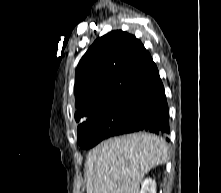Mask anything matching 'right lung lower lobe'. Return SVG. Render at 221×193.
Returning <instances> with one entry per match:
<instances>
[{"mask_svg":"<svg viewBox=\"0 0 221 193\" xmlns=\"http://www.w3.org/2000/svg\"><path fill=\"white\" fill-rule=\"evenodd\" d=\"M139 131L153 132L164 137L169 134L168 104L161 80L147 99V109L144 113L132 124L119 130L116 135Z\"/></svg>","mask_w":221,"mask_h":193,"instance_id":"1","label":"right lung lower lobe"}]
</instances>
